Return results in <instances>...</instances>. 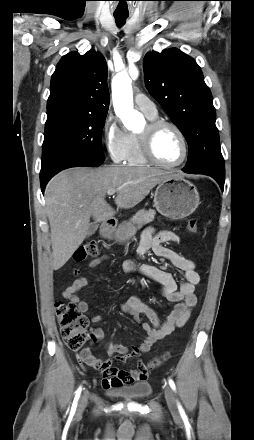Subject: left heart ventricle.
<instances>
[{
  "label": "left heart ventricle",
  "instance_id": "left-heart-ventricle-1",
  "mask_svg": "<svg viewBox=\"0 0 254 440\" xmlns=\"http://www.w3.org/2000/svg\"><path fill=\"white\" fill-rule=\"evenodd\" d=\"M154 150L157 157L168 164L179 162L183 154L182 142L179 136L169 127L161 128L158 131L154 141Z\"/></svg>",
  "mask_w": 254,
  "mask_h": 440
}]
</instances>
